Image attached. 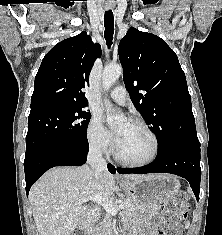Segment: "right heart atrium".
I'll return each mask as SVG.
<instances>
[{
  "mask_svg": "<svg viewBox=\"0 0 222 235\" xmlns=\"http://www.w3.org/2000/svg\"><path fill=\"white\" fill-rule=\"evenodd\" d=\"M89 146L99 154H108L113 149V140L99 115L90 119L87 129Z\"/></svg>",
  "mask_w": 222,
  "mask_h": 235,
  "instance_id": "obj_1",
  "label": "right heart atrium"
}]
</instances>
